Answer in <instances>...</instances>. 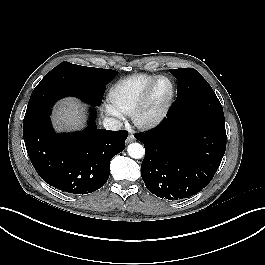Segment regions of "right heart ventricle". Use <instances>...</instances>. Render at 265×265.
Masks as SVG:
<instances>
[{
	"label": "right heart ventricle",
	"instance_id": "obj_1",
	"mask_svg": "<svg viewBox=\"0 0 265 265\" xmlns=\"http://www.w3.org/2000/svg\"><path fill=\"white\" fill-rule=\"evenodd\" d=\"M155 77L152 74H137L116 82L108 93L109 110L118 115H130Z\"/></svg>",
	"mask_w": 265,
	"mask_h": 265
}]
</instances>
